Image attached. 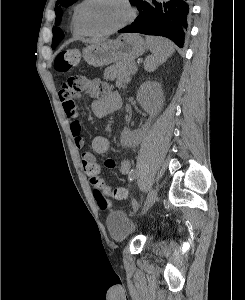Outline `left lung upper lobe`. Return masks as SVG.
Returning <instances> with one entry per match:
<instances>
[{
  "label": "left lung upper lobe",
  "mask_w": 245,
  "mask_h": 300,
  "mask_svg": "<svg viewBox=\"0 0 245 300\" xmlns=\"http://www.w3.org/2000/svg\"><path fill=\"white\" fill-rule=\"evenodd\" d=\"M77 0H57L56 7H55V13H56V21L55 24L58 25L62 19L63 11L62 7H67L75 3ZM134 0H130L131 3H133ZM64 33L63 31L58 28H53V40H52V48L54 49L58 43L63 39Z\"/></svg>",
  "instance_id": "1"
}]
</instances>
